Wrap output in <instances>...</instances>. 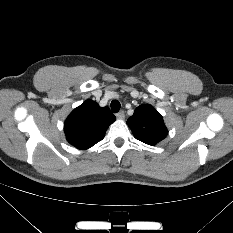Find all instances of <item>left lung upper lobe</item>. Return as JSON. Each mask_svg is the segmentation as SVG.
Listing matches in <instances>:
<instances>
[{
	"label": "left lung upper lobe",
	"mask_w": 233,
	"mask_h": 233,
	"mask_svg": "<svg viewBox=\"0 0 233 233\" xmlns=\"http://www.w3.org/2000/svg\"><path fill=\"white\" fill-rule=\"evenodd\" d=\"M127 124L135 138L148 145L157 144L168 134L161 114L149 104L137 107Z\"/></svg>",
	"instance_id": "5c2ea615"
}]
</instances>
